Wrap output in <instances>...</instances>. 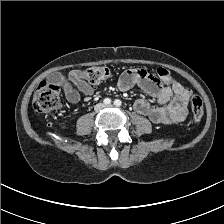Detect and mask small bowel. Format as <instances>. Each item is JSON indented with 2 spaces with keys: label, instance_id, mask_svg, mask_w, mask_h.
<instances>
[{
  "label": "small bowel",
  "instance_id": "c3829d8e",
  "mask_svg": "<svg viewBox=\"0 0 224 224\" xmlns=\"http://www.w3.org/2000/svg\"><path fill=\"white\" fill-rule=\"evenodd\" d=\"M50 82L63 89L70 103H77L80 94L91 96L93 87L82 77L80 70H72L64 77L55 73ZM138 85L146 94L155 99L150 103L144 99L136 100L134 108L137 113L147 116L154 124H176L185 119L191 91L179 82L162 85L150 73L140 69L125 71L118 81V88L125 92Z\"/></svg>",
  "mask_w": 224,
  "mask_h": 224
}]
</instances>
